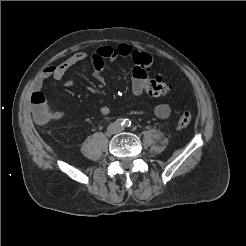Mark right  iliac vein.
I'll return each instance as SVG.
<instances>
[{
    "mask_svg": "<svg viewBox=\"0 0 246 246\" xmlns=\"http://www.w3.org/2000/svg\"><path fill=\"white\" fill-rule=\"evenodd\" d=\"M115 131H116V128H115L114 125H111V126L108 127V132H109L110 134H113Z\"/></svg>",
    "mask_w": 246,
    "mask_h": 246,
    "instance_id": "right-iliac-vein-1",
    "label": "right iliac vein"
}]
</instances>
